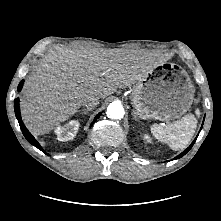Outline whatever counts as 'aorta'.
<instances>
[{"label": "aorta", "mask_w": 221, "mask_h": 221, "mask_svg": "<svg viewBox=\"0 0 221 221\" xmlns=\"http://www.w3.org/2000/svg\"><path fill=\"white\" fill-rule=\"evenodd\" d=\"M107 116L112 119H121L124 116V108L119 102H112L107 108Z\"/></svg>", "instance_id": "1"}]
</instances>
